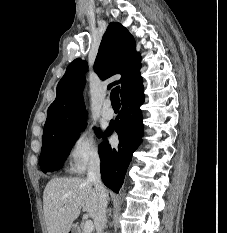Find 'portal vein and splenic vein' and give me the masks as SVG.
Here are the masks:
<instances>
[{"label":"portal vein and splenic vein","instance_id":"portal-vein-and-splenic-vein-1","mask_svg":"<svg viewBox=\"0 0 227 233\" xmlns=\"http://www.w3.org/2000/svg\"><path fill=\"white\" fill-rule=\"evenodd\" d=\"M94 229L93 222L91 220H87L84 224L83 232L91 233Z\"/></svg>","mask_w":227,"mask_h":233}]
</instances>
